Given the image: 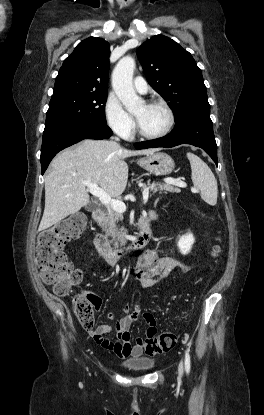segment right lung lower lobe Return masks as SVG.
<instances>
[{
    "label": "right lung lower lobe",
    "mask_w": 264,
    "mask_h": 415,
    "mask_svg": "<svg viewBox=\"0 0 264 415\" xmlns=\"http://www.w3.org/2000/svg\"><path fill=\"white\" fill-rule=\"evenodd\" d=\"M112 131L107 123L78 122L44 130L41 147L42 174L54 156L83 139H107Z\"/></svg>",
    "instance_id": "obj_1"
}]
</instances>
